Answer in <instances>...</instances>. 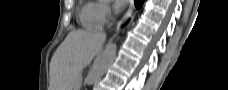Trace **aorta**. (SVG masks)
<instances>
[{
	"label": "aorta",
	"instance_id": "aorta-1",
	"mask_svg": "<svg viewBox=\"0 0 228 90\" xmlns=\"http://www.w3.org/2000/svg\"><path fill=\"white\" fill-rule=\"evenodd\" d=\"M116 50V44L110 43L107 45L106 49L98 57L91 72L86 78V84L88 86L96 83L104 75L116 57Z\"/></svg>",
	"mask_w": 228,
	"mask_h": 90
}]
</instances>
